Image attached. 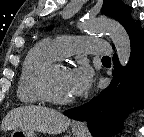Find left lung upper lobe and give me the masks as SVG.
<instances>
[{"label":"left lung upper lobe","mask_w":144,"mask_h":137,"mask_svg":"<svg viewBox=\"0 0 144 137\" xmlns=\"http://www.w3.org/2000/svg\"><path fill=\"white\" fill-rule=\"evenodd\" d=\"M130 7L124 5L121 0H104L102 13L119 21L127 33L138 25V22H134L129 15Z\"/></svg>","instance_id":"5c2ea615"}]
</instances>
